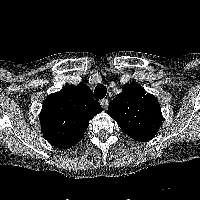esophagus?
Returning a JSON list of instances; mask_svg holds the SVG:
<instances>
[{
    "label": "esophagus",
    "instance_id": "esophagus-1",
    "mask_svg": "<svg viewBox=\"0 0 200 200\" xmlns=\"http://www.w3.org/2000/svg\"><path fill=\"white\" fill-rule=\"evenodd\" d=\"M100 105L103 107V108H107L108 107V99H101L99 101Z\"/></svg>",
    "mask_w": 200,
    "mask_h": 200
}]
</instances>
